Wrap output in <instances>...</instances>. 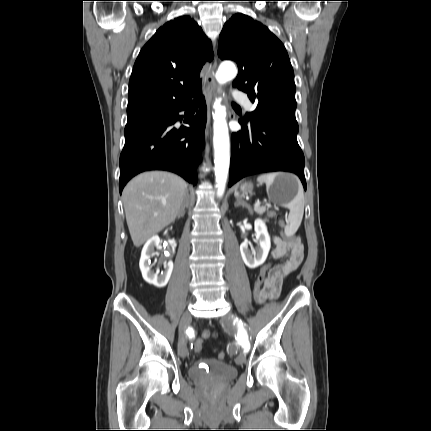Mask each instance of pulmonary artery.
<instances>
[{
    "instance_id": "e3ab8cb5",
    "label": "pulmonary artery",
    "mask_w": 431,
    "mask_h": 431,
    "mask_svg": "<svg viewBox=\"0 0 431 431\" xmlns=\"http://www.w3.org/2000/svg\"><path fill=\"white\" fill-rule=\"evenodd\" d=\"M233 96H234V98L238 101V102H240L248 111H251V110H253V108H254V105L252 104V102L248 99V97L245 95V94H243L242 92H240V91H237V90H235L234 92H233Z\"/></svg>"
}]
</instances>
